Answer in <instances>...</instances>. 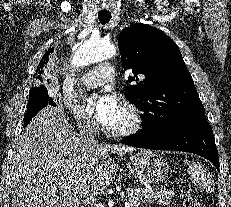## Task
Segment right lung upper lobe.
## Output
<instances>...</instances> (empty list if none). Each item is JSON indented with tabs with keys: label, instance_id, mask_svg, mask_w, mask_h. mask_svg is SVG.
Masks as SVG:
<instances>
[{
	"label": "right lung upper lobe",
	"instance_id": "1",
	"mask_svg": "<svg viewBox=\"0 0 231 207\" xmlns=\"http://www.w3.org/2000/svg\"><path fill=\"white\" fill-rule=\"evenodd\" d=\"M53 50H54V48L48 49V51L42 57L39 65L37 66L36 73L34 75V77L36 79H40V75L43 72L44 65L47 64V62L49 60V56L52 54Z\"/></svg>",
	"mask_w": 231,
	"mask_h": 207
}]
</instances>
